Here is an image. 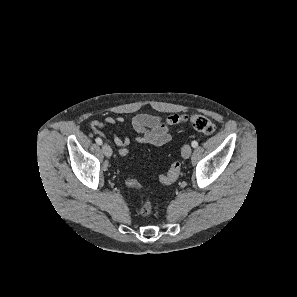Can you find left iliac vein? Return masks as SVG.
<instances>
[{
	"label": "left iliac vein",
	"instance_id": "left-iliac-vein-1",
	"mask_svg": "<svg viewBox=\"0 0 297 297\" xmlns=\"http://www.w3.org/2000/svg\"><path fill=\"white\" fill-rule=\"evenodd\" d=\"M191 151H192V149H191L190 145H188V144L184 145L182 148V157L184 159H188L191 155Z\"/></svg>",
	"mask_w": 297,
	"mask_h": 297
}]
</instances>
